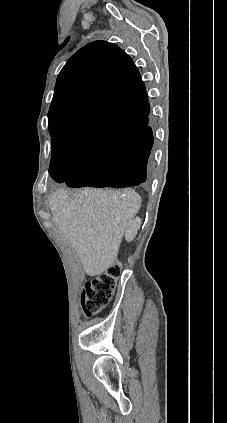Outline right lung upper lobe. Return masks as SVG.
<instances>
[{
  "label": "right lung upper lobe",
  "mask_w": 227,
  "mask_h": 423,
  "mask_svg": "<svg viewBox=\"0 0 227 423\" xmlns=\"http://www.w3.org/2000/svg\"><path fill=\"white\" fill-rule=\"evenodd\" d=\"M147 97L132 59L105 41L87 44L58 75L48 112L52 143L89 153L129 136L132 125L108 120L98 110Z\"/></svg>",
  "instance_id": "right-lung-upper-lobe-1"
}]
</instances>
